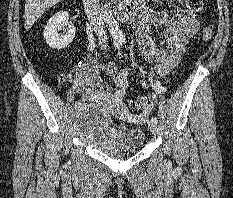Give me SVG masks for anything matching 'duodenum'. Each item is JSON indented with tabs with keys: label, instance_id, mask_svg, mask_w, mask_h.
<instances>
[{
	"label": "duodenum",
	"instance_id": "1",
	"mask_svg": "<svg viewBox=\"0 0 233 198\" xmlns=\"http://www.w3.org/2000/svg\"><path fill=\"white\" fill-rule=\"evenodd\" d=\"M142 0H124L116 10V15L120 21L129 20L139 8Z\"/></svg>",
	"mask_w": 233,
	"mask_h": 198
}]
</instances>
